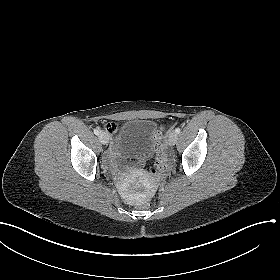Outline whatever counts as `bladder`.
<instances>
[{
    "label": "bladder",
    "mask_w": 280,
    "mask_h": 280,
    "mask_svg": "<svg viewBox=\"0 0 280 280\" xmlns=\"http://www.w3.org/2000/svg\"><path fill=\"white\" fill-rule=\"evenodd\" d=\"M156 122L151 119H129L116 132L112 147L122 154L151 155L156 146Z\"/></svg>",
    "instance_id": "31cf9c89"
}]
</instances>
